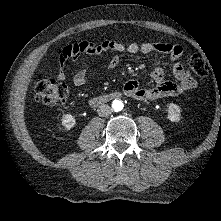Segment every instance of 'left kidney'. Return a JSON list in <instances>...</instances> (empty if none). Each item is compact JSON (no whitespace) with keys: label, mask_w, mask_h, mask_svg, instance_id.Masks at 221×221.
Segmentation results:
<instances>
[{"label":"left kidney","mask_w":221,"mask_h":221,"mask_svg":"<svg viewBox=\"0 0 221 221\" xmlns=\"http://www.w3.org/2000/svg\"><path fill=\"white\" fill-rule=\"evenodd\" d=\"M168 119L171 122H179L181 119V108L174 103L168 105Z\"/></svg>","instance_id":"obj_1"}]
</instances>
